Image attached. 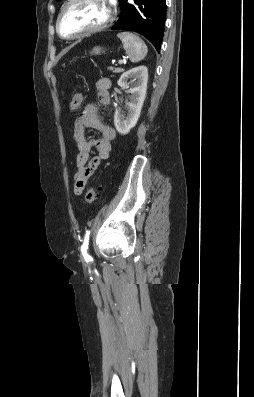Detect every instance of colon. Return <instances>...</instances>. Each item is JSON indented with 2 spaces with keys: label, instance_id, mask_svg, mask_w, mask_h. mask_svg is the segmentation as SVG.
I'll use <instances>...</instances> for the list:
<instances>
[{
  "label": "colon",
  "instance_id": "5ec220e1",
  "mask_svg": "<svg viewBox=\"0 0 254 397\" xmlns=\"http://www.w3.org/2000/svg\"><path fill=\"white\" fill-rule=\"evenodd\" d=\"M83 102V94L81 92H77L73 95L69 102V109L71 111L77 110ZM99 196V189L97 187H91L88 189L86 193V201L88 203H93Z\"/></svg>",
  "mask_w": 254,
  "mask_h": 397
}]
</instances>
